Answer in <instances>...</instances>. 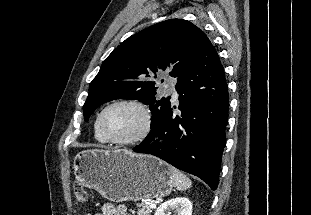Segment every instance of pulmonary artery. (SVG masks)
Masks as SVG:
<instances>
[{"mask_svg": "<svg viewBox=\"0 0 311 215\" xmlns=\"http://www.w3.org/2000/svg\"><path fill=\"white\" fill-rule=\"evenodd\" d=\"M169 87L173 89V97H174L175 99H177L179 95H178V93L176 92V90H175V88H174V85H173L172 83H169Z\"/></svg>", "mask_w": 311, "mask_h": 215, "instance_id": "obj_1", "label": "pulmonary artery"}]
</instances>
